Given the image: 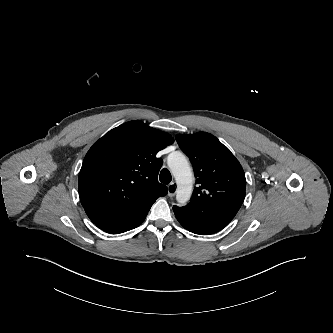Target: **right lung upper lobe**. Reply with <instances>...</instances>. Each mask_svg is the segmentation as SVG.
Returning <instances> with one entry per match:
<instances>
[{
  "mask_svg": "<svg viewBox=\"0 0 333 333\" xmlns=\"http://www.w3.org/2000/svg\"><path fill=\"white\" fill-rule=\"evenodd\" d=\"M173 142L168 133L139 120L124 123L95 142L84 158L78 189L86 214L98 228L137 220L167 194L157 180L163 161L156 154Z\"/></svg>",
  "mask_w": 333,
  "mask_h": 333,
  "instance_id": "cb5924a9",
  "label": "right lung upper lobe"
}]
</instances>
